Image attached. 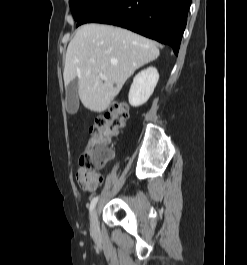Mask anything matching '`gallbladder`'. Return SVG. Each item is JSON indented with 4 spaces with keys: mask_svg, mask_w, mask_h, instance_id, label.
Returning a JSON list of instances; mask_svg holds the SVG:
<instances>
[{
    "mask_svg": "<svg viewBox=\"0 0 247 265\" xmlns=\"http://www.w3.org/2000/svg\"><path fill=\"white\" fill-rule=\"evenodd\" d=\"M77 88L78 80L76 78L66 87V108L70 114H74L78 107Z\"/></svg>",
    "mask_w": 247,
    "mask_h": 265,
    "instance_id": "1",
    "label": "gallbladder"
}]
</instances>
